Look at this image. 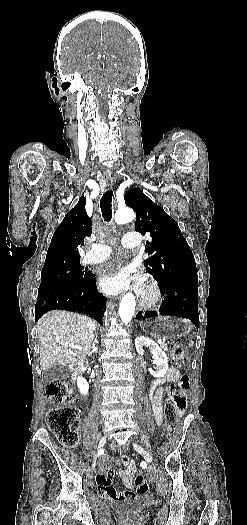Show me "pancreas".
I'll use <instances>...</instances> for the list:
<instances>
[{
	"mask_svg": "<svg viewBox=\"0 0 247 525\" xmlns=\"http://www.w3.org/2000/svg\"><path fill=\"white\" fill-rule=\"evenodd\" d=\"M162 349H164V351H167L168 347L166 345V343H164V345H161Z\"/></svg>",
	"mask_w": 247,
	"mask_h": 525,
	"instance_id": "obj_1",
	"label": "pancreas"
}]
</instances>
